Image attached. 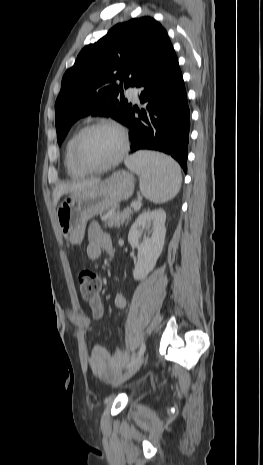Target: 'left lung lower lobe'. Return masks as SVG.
I'll use <instances>...</instances> for the list:
<instances>
[{"label":"left lung lower lobe","mask_w":263,"mask_h":465,"mask_svg":"<svg viewBox=\"0 0 263 465\" xmlns=\"http://www.w3.org/2000/svg\"><path fill=\"white\" fill-rule=\"evenodd\" d=\"M141 89L145 109L129 111L124 125L130 129L131 152L158 150L176 159L187 171L190 111L178 59L167 43L134 85ZM139 113L135 118L134 112Z\"/></svg>","instance_id":"left-lung-lower-lobe-1"}]
</instances>
